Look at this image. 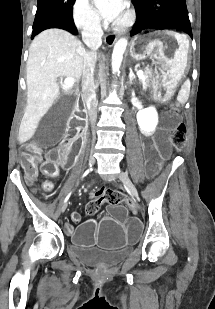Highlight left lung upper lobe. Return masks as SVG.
<instances>
[{
	"label": "left lung upper lobe",
	"mask_w": 215,
	"mask_h": 309,
	"mask_svg": "<svg viewBox=\"0 0 215 309\" xmlns=\"http://www.w3.org/2000/svg\"><path fill=\"white\" fill-rule=\"evenodd\" d=\"M137 15L132 35L147 29H176L192 37L185 0H132Z\"/></svg>",
	"instance_id": "5c2ea615"
}]
</instances>
